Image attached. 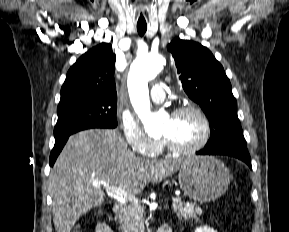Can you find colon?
<instances>
[{"instance_id":"5ec220e1","label":"colon","mask_w":289,"mask_h":232,"mask_svg":"<svg viewBox=\"0 0 289 232\" xmlns=\"http://www.w3.org/2000/svg\"><path fill=\"white\" fill-rule=\"evenodd\" d=\"M72 232H80V230L78 228H75L74 230H72Z\"/></svg>"}]
</instances>
